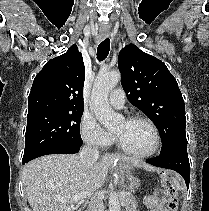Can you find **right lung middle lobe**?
<instances>
[{
	"instance_id": "right-lung-middle-lobe-1",
	"label": "right lung middle lobe",
	"mask_w": 209,
	"mask_h": 211,
	"mask_svg": "<svg viewBox=\"0 0 209 211\" xmlns=\"http://www.w3.org/2000/svg\"><path fill=\"white\" fill-rule=\"evenodd\" d=\"M80 111H38L28 113L22 161L50 147L81 146Z\"/></svg>"
}]
</instances>
